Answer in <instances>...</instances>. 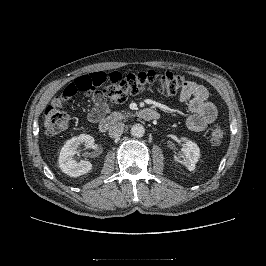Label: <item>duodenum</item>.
Wrapping results in <instances>:
<instances>
[{
    "label": "duodenum",
    "instance_id": "1",
    "mask_svg": "<svg viewBox=\"0 0 266 266\" xmlns=\"http://www.w3.org/2000/svg\"><path fill=\"white\" fill-rule=\"evenodd\" d=\"M137 116L143 120L151 121L159 118V113L151 108H143L137 112ZM124 117L123 114L113 113L108 116H103L98 111H91L90 118L96 123L101 132L108 131L114 124Z\"/></svg>",
    "mask_w": 266,
    "mask_h": 266
}]
</instances>
